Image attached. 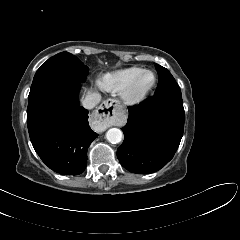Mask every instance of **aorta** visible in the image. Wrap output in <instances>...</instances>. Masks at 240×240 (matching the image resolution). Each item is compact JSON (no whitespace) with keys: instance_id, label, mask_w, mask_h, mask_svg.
I'll list each match as a JSON object with an SVG mask.
<instances>
[{"instance_id":"aorta-1","label":"aorta","mask_w":240,"mask_h":240,"mask_svg":"<svg viewBox=\"0 0 240 240\" xmlns=\"http://www.w3.org/2000/svg\"><path fill=\"white\" fill-rule=\"evenodd\" d=\"M122 137L123 133L118 128H111L106 133V139L112 144H117L121 142Z\"/></svg>"}]
</instances>
